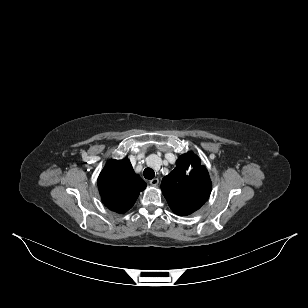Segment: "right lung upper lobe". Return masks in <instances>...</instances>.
<instances>
[{
  "label": "right lung upper lobe",
  "instance_id": "right-lung-upper-lobe-1",
  "mask_svg": "<svg viewBox=\"0 0 308 308\" xmlns=\"http://www.w3.org/2000/svg\"><path fill=\"white\" fill-rule=\"evenodd\" d=\"M98 188L104 205L117 213H124L135 203L146 183L135 174L130 161L110 160L98 178Z\"/></svg>",
  "mask_w": 308,
  "mask_h": 308
}]
</instances>
